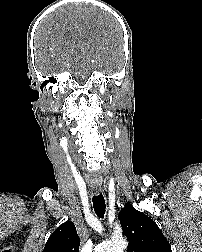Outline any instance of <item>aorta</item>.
I'll list each match as a JSON object with an SVG mask.
<instances>
[{
  "label": "aorta",
  "instance_id": "obj_1",
  "mask_svg": "<svg viewBox=\"0 0 202 252\" xmlns=\"http://www.w3.org/2000/svg\"><path fill=\"white\" fill-rule=\"evenodd\" d=\"M127 248L125 239H115L108 243L100 244L96 247L95 252H124Z\"/></svg>",
  "mask_w": 202,
  "mask_h": 252
}]
</instances>
